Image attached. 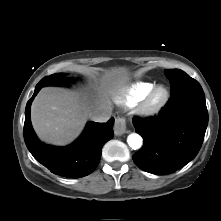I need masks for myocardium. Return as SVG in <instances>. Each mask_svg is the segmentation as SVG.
<instances>
[{"mask_svg":"<svg viewBox=\"0 0 221 221\" xmlns=\"http://www.w3.org/2000/svg\"><path fill=\"white\" fill-rule=\"evenodd\" d=\"M162 93L158 97L159 93ZM170 98V91L164 85L155 86L142 100L140 105V113L147 117L157 115L168 103Z\"/></svg>","mask_w":221,"mask_h":221,"instance_id":"myocardium-1","label":"myocardium"}]
</instances>
